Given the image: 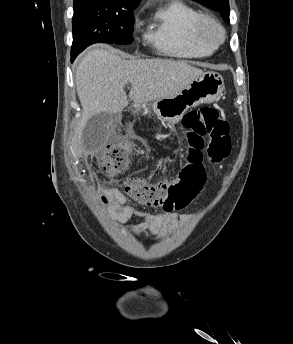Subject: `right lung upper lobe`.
Segmentation results:
<instances>
[{"instance_id":"cb5924a9","label":"right lung upper lobe","mask_w":293,"mask_h":344,"mask_svg":"<svg viewBox=\"0 0 293 344\" xmlns=\"http://www.w3.org/2000/svg\"><path fill=\"white\" fill-rule=\"evenodd\" d=\"M83 0H74V4H78ZM94 1H101L106 3H113V4H121V5H138L140 0H94Z\"/></svg>"}]
</instances>
